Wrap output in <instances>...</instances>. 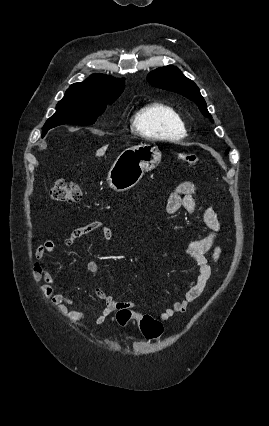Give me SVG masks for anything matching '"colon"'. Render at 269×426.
Wrapping results in <instances>:
<instances>
[{
    "instance_id": "obj_1",
    "label": "colon",
    "mask_w": 269,
    "mask_h": 426,
    "mask_svg": "<svg viewBox=\"0 0 269 426\" xmlns=\"http://www.w3.org/2000/svg\"><path fill=\"white\" fill-rule=\"evenodd\" d=\"M179 159L188 166H196L198 163L197 155L190 152H181L179 154ZM49 194L53 201L59 203L77 202L82 196V192L77 183L64 179L57 180L51 187ZM116 317L119 324L125 325L132 319L133 313L127 307H122L118 309ZM139 326L143 335L149 339H156L160 337L163 332L162 323L147 314L141 317Z\"/></svg>"
}]
</instances>
